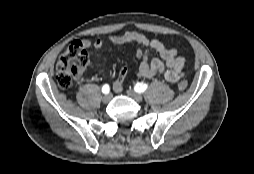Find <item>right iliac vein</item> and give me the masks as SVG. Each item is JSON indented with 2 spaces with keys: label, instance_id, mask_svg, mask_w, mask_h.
<instances>
[{
  "label": "right iliac vein",
  "instance_id": "right-iliac-vein-1",
  "mask_svg": "<svg viewBox=\"0 0 254 174\" xmlns=\"http://www.w3.org/2000/svg\"><path fill=\"white\" fill-rule=\"evenodd\" d=\"M112 99V94L108 93V94H105L102 98V101L104 103H108L110 100Z\"/></svg>",
  "mask_w": 254,
  "mask_h": 174
}]
</instances>
